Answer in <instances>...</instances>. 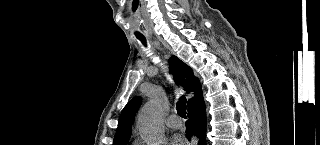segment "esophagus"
<instances>
[{
	"instance_id": "34e87169",
	"label": "esophagus",
	"mask_w": 320,
	"mask_h": 145,
	"mask_svg": "<svg viewBox=\"0 0 320 145\" xmlns=\"http://www.w3.org/2000/svg\"><path fill=\"white\" fill-rule=\"evenodd\" d=\"M191 142L193 145L197 144V138L193 136Z\"/></svg>"
}]
</instances>
